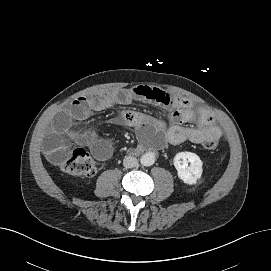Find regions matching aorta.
I'll list each match as a JSON object with an SVG mask.
<instances>
[{
    "instance_id": "aorta-1",
    "label": "aorta",
    "mask_w": 271,
    "mask_h": 271,
    "mask_svg": "<svg viewBox=\"0 0 271 271\" xmlns=\"http://www.w3.org/2000/svg\"><path fill=\"white\" fill-rule=\"evenodd\" d=\"M140 162L143 166H151L155 162V155L153 153H145L142 155Z\"/></svg>"
}]
</instances>
